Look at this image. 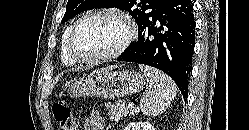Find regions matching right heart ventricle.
Masks as SVG:
<instances>
[{
    "label": "right heart ventricle",
    "instance_id": "obj_1",
    "mask_svg": "<svg viewBox=\"0 0 249 130\" xmlns=\"http://www.w3.org/2000/svg\"><path fill=\"white\" fill-rule=\"evenodd\" d=\"M72 28V25L68 26L66 30L64 31L61 39V48H60V56L61 60L64 64L66 65H73L75 62L68 56L67 51H66V43L67 39L70 33V30Z\"/></svg>",
    "mask_w": 249,
    "mask_h": 130
}]
</instances>
